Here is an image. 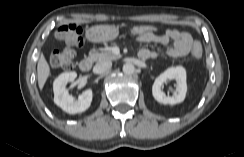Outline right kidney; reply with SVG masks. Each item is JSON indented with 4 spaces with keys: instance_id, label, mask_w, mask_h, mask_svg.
Masks as SVG:
<instances>
[{
    "instance_id": "ca27d5eb",
    "label": "right kidney",
    "mask_w": 244,
    "mask_h": 157,
    "mask_svg": "<svg viewBox=\"0 0 244 157\" xmlns=\"http://www.w3.org/2000/svg\"><path fill=\"white\" fill-rule=\"evenodd\" d=\"M77 77L76 72H65L60 74L53 83L54 103L68 114H77L86 111L92 102L93 92L85 90L78 98L68 94L66 85L73 82Z\"/></svg>"
}]
</instances>
